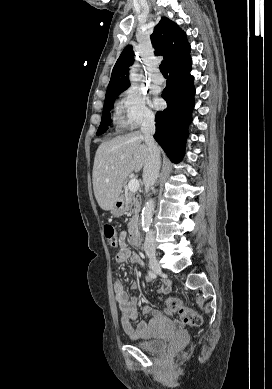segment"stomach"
Instances as JSON below:
<instances>
[{
  "instance_id": "obj_1",
  "label": "stomach",
  "mask_w": 272,
  "mask_h": 389,
  "mask_svg": "<svg viewBox=\"0 0 272 389\" xmlns=\"http://www.w3.org/2000/svg\"><path fill=\"white\" fill-rule=\"evenodd\" d=\"M125 200L124 198L121 196L119 197L116 202L114 203L113 207L111 208V214L114 216V217H120L124 211H125Z\"/></svg>"
}]
</instances>
